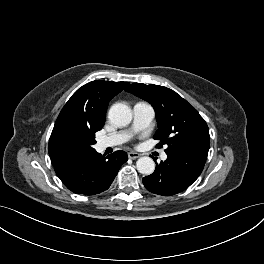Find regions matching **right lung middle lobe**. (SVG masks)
<instances>
[{"label": "right lung middle lobe", "instance_id": "dd1d6c3e", "mask_svg": "<svg viewBox=\"0 0 264 264\" xmlns=\"http://www.w3.org/2000/svg\"><path fill=\"white\" fill-rule=\"evenodd\" d=\"M95 143V131L70 128L61 135L57 148L62 157L69 159L95 151Z\"/></svg>", "mask_w": 264, "mask_h": 264}]
</instances>
